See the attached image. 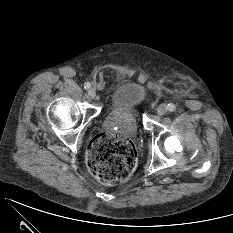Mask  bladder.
Returning <instances> with one entry per match:
<instances>
[{"instance_id":"bladder-1","label":"bladder","mask_w":233,"mask_h":233,"mask_svg":"<svg viewBox=\"0 0 233 233\" xmlns=\"http://www.w3.org/2000/svg\"><path fill=\"white\" fill-rule=\"evenodd\" d=\"M147 97L146 87L136 81H126L120 84L112 93L111 104L114 109H123L129 112L130 129L136 131V109Z\"/></svg>"}]
</instances>
